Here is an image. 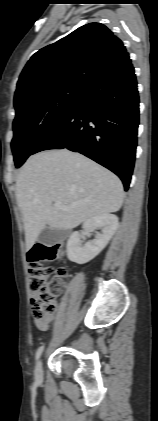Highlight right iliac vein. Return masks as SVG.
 <instances>
[{"label": "right iliac vein", "instance_id": "obj_1", "mask_svg": "<svg viewBox=\"0 0 158 421\" xmlns=\"http://www.w3.org/2000/svg\"><path fill=\"white\" fill-rule=\"evenodd\" d=\"M42 360L40 359L37 364H36V368H35V378L37 381H41L42 377H43V370H42Z\"/></svg>", "mask_w": 158, "mask_h": 421}]
</instances>
